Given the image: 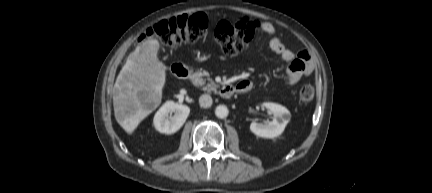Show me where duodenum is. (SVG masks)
<instances>
[{
	"mask_svg": "<svg viewBox=\"0 0 432 193\" xmlns=\"http://www.w3.org/2000/svg\"><path fill=\"white\" fill-rule=\"evenodd\" d=\"M171 70L179 79L190 80L193 77V71L191 68L181 63L173 64ZM235 92H237V88L234 85H223L220 87V95L223 98H230Z\"/></svg>",
	"mask_w": 432,
	"mask_h": 193,
	"instance_id": "obj_1",
	"label": "duodenum"
}]
</instances>
